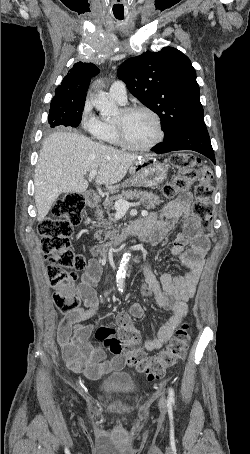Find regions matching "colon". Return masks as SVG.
I'll list each match as a JSON object with an SVG mask.
<instances>
[{"label":"colon","instance_id":"obj_1","mask_svg":"<svg viewBox=\"0 0 250 454\" xmlns=\"http://www.w3.org/2000/svg\"><path fill=\"white\" fill-rule=\"evenodd\" d=\"M177 175L163 187L167 198L185 193L190 185L197 182L194 190L195 201L192 215L199 229L206 236H213L212 213L209 199L213 194L212 170L200 163L198 157L188 153H177L171 157ZM85 198L79 193L67 194L59 199L52 215L39 225L41 247L47 262V275L53 288V300L64 313L79 309L80 297L76 292L77 272L86 266L84 257L71 246L73 229L81 222ZM114 355L124 354L128 362L149 380L162 377L166 371L183 358L190 339L187 324L180 325L168 345L152 357H146L139 345V335L132 325L131 317L123 314L118 318V327H100L95 332Z\"/></svg>","mask_w":250,"mask_h":454}]
</instances>
